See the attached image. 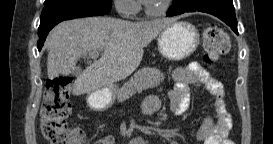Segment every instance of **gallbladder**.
Instances as JSON below:
<instances>
[{
	"label": "gallbladder",
	"mask_w": 273,
	"mask_h": 144,
	"mask_svg": "<svg viewBox=\"0 0 273 144\" xmlns=\"http://www.w3.org/2000/svg\"><path fill=\"white\" fill-rule=\"evenodd\" d=\"M72 76H79L81 73L80 65H72Z\"/></svg>",
	"instance_id": "gallbladder-1"
}]
</instances>
